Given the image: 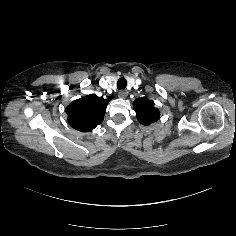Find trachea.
<instances>
[{
	"label": "trachea",
	"mask_w": 236,
	"mask_h": 236,
	"mask_svg": "<svg viewBox=\"0 0 236 236\" xmlns=\"http://www.w3.org/2000/svg\"><path fill=\"white\" fill-rule=\"evenodd\" d=\"M127 86V81L125 78L121 77L118 81H117V88L118 90H124Z\"/></svg>",
	"instance_id": "trachea-1"
}]
</instances>
